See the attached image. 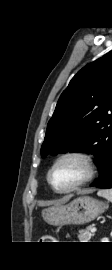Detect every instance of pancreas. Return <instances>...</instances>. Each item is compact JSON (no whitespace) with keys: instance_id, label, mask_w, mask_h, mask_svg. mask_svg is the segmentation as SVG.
Returning <instances> with one entry per match:
<instances>
[{"instance_id":"obj_1","label":"pancreas","mask_w":112,"mask_h":270,"mask_svg":"<svg viewBox=\"0 0 112 270\" xmlns=\"http://www.w3.org/2000/svg\"><path fill=\"white\" fill-rule=\"evenodd\" d=\"M93 235L94 234L91 233L90 228L88 227L85 230H80L79 231L78 238H79L80 242H89V240L91 239V237Z\"/></svg>"}]
</instances>
